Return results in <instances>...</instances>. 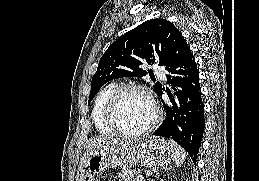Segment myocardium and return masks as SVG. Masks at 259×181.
Listing matches in <instances>:
<instances>
[{
    "label": "myocardium",
    "instance_id": "1",
    "mask_svg": "<svg viewBox=\"0 0 259 181\" xmlns=\"http://www.w3.org/2000/svg\"><path fill=\"white\" fill-rule=\"evenodd\" d=\"M132 92L140 93L144 95L149 100V102L151 103L154 109V118L152 122L149 125H147L145 128L138 131H126L122 129L118 125L117 119H116L117 111L123 97L128 93H132ZM161 119H162V112L154 96L145 86L138 85V84H128V85H123L118 87L116 91L113 93V95L111 96L105 111V120L107 125L113 130L114 133L127 138H138V137L147 135L159 125Z\"/></svg>",
    "mask_w": 259,
    "mask_h": 181
}]
</instances>
